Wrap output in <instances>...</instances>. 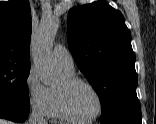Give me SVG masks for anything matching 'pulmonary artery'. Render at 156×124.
I'll use <instances>...</instances> for the list:
<instances>
[{"mask_svg": "<svg viewBox=\"0 0 156 124\" xmlns=\"http://www.w3.org/2000/svg\"><path fill=\"white\" fill-rule=\"evenodd\" d=\"M53 57L55 61L65 70L74 71V60L71 53L60 44L53 48Z\"/></svg>", "mask_w": 156, "mask_h": 124, "instance_id": "e3ab8cb5", "label": "pulmonary artery"}]
</instances>
